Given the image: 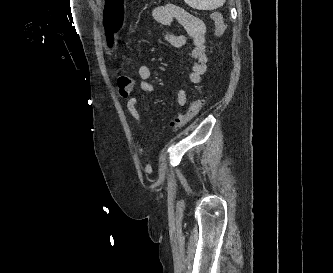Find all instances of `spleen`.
<instances>
[{"label":"spleen","instance_id":"3e777b00","mask_svg":"<svg viewBox=\"0 0 333 273\" xmlns=\"http://www.w3.org/2000/svg\"><path fill=\"white\" fill-rule=\"evenodd\" d=\"M189 6L198 10H214L225 3L226 0H184Z\"/></svg>","mask_w":333,"mask_h":273}]
</instances>
